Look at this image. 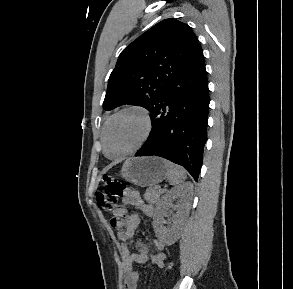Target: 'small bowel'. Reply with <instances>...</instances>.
<instances>
[{
    "mask_svg": "<svg viewBox=\"0 0 293 289\" xmlns=\"http://www.w3.org/2000/svg\"><path fill=\"white\" fill-rule=\"evenodd\" d=\"M123 202L126 205H132L141 209L148 218H153L155 215L154 207L143 202L140 195L136 192H127ZM113 218L123 221L122 226L117 228L120 229L123 227V229H120L117 233V248L121 255L125 289H137L139 274L134 270L133 264L143 265L151 262L155 266L163 268L166 259L164 243L157 238H153L151 243L156 251L152 253L147 243L136 241V252L133 253L130 251L127 241L134 236L140 223L139 216L137 214L127 215V209L122 207L113 211Z\"/></svg>",
    "mask_w": 293,
    "mask_h": 289,
    "instance_id": "c3829d8e",
    "label": "small bowel"
}]
</instances>
